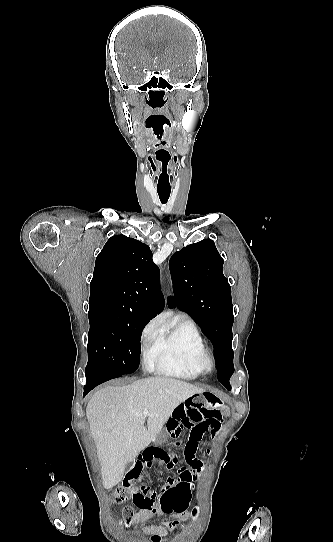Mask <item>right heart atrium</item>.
<instances>
[{
	"label": "right heart atrium",
	"instance_id": "obj_1",
	"mask_svg": "<svg viewBox=\"0 0 333 542\" xmlns=\"http://www.w3.org/2000/svg\"><path fill=\"white\" fill-rule=\"evenodd\" d=\"M159 336V332L154 323L148 324L142 334V340L144 345L153 342Z\"/></svg>",
	"mask_w": 333,
	"mask_h": 542
}]
</instances>
